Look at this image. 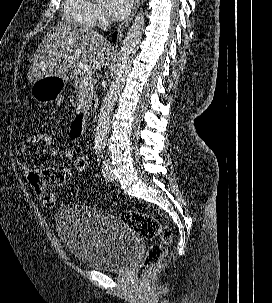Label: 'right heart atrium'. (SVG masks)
I'll use <instances>...</instances> for the list:
<instances>
[{
  "mask_svg": "<svg viewBox=\"0 0 272 303\" xmlns=\"http://www.w3.org/2000/svg\"><path fill=\"white\" fill-rule=\"evenodd\" d=\"M107 21V15L104 8L96 3H92V24L105 23Z\"/></svg>",
  "mask_w": 272,
  "mask_h": 303,
  "instance_id": "1",
  "label": "right heart atrium"
}]
</instances>
